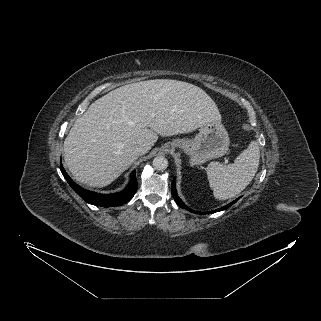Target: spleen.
I'll return each instance as SVG.
<instances>
[{"instance_id":"3e777b00","label":"spleen","mask_w":321,"mask_h":321,"mask_svg":"<svg viewBox=\"0 0 321 321\" xmlns=\"http://www.w3.org/2000/svg\"><path fill=\"white\" fill-rule=\"evenodd\" d=\"M259 160V145L256 141H251L233 164L223 165L219 162H211L206 171L214 197L226 200L243 191L254 178Z\"/></svg>"}]
</instances>
